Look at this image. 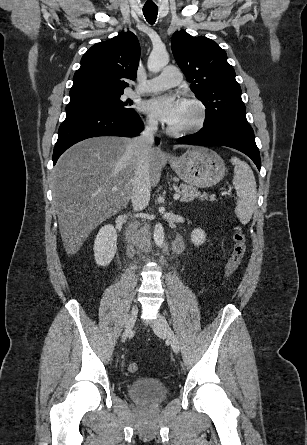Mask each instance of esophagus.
Returning <instances> with one entry per match:
<instances>
[{"label": "esophagus", "mask_w": 307, "mask_h": 445, "mask_svg": "<svg viewBox=\"0 0 307 445\" xmlns=\"http://www.w3.org/2000/svg\"><path fill=\"white\" fill-rule=\"evenodd\" d=\"M166 156H168L169 158H173L172 155L168 151L166 152Z\"/></svg>", "instance_id": "obj_1"}]
</instances>
